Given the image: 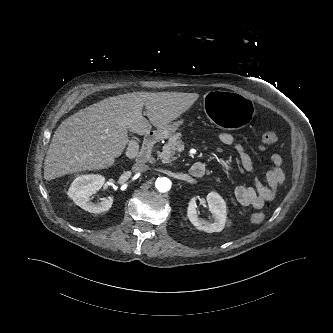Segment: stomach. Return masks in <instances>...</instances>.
I'll list each match as a JSON object with an SVG mask.
<instances>
[{
  "label": "stomach",
  "instance_id": "1",
  "mask_svg": "<svg viewBox=\"0 0 333 333\" xmlns=\"http://www.w3.org/2000/svg\"><path fill=\"white\" fill-rule=\"evenodd\" d=\"M202 111L208 120L225 129L244 127L253 116V107L247 98L241 95H231L224 90H214L208 93L203 99ZM183 122L184 119H180L158 128L157 133L163 138H168L181 127Z\"/></svg>",
  "mask_w": 333,
  "mask_h": 333
}]
</instances>
